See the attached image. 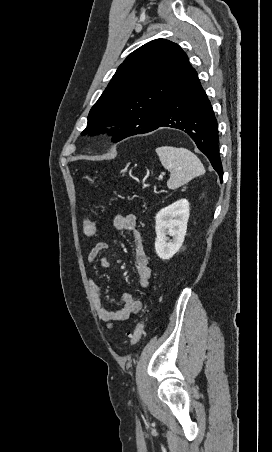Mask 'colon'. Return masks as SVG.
Segmentation results:
<instances>
[{
    "label": "colon",
    "mask_w": 272,
    "mask_h": 452,
    "mask_svg": "<svg viewBox=\"0 0 272 452\" xmlns=\"http://www.w3.org/2000/svg\"><path fill=\"white\" fill-rule=\"evenodd\" d=\"M83 230L84 233L88 236H93L97 231L96 221L92 218H88L83 222ZM147 315V311L144 313V318H142L136 325L133 333L129 336L128 344L135 345L137 344L141 338L145 334V316Z\"/></svg>",
    "instance_id": "obj_1"
}]
</instances>
